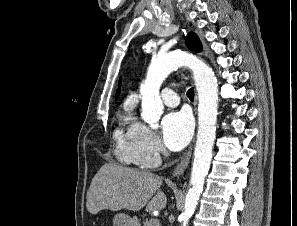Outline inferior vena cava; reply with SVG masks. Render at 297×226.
I'll list each match as a JSON object with an SVG mask.
<instances>
[{
    "label": "inferior vena cava",
    "mask_w": 297,
    "mask_h": 226,
    "mask_svg": "<svg viewBox=\"0 0 297 226\" xmlns=\"http://www.w3.org/2000/svg\"><path fill=\"white\" fill-rule=\"evenodd\" d=\"M164 155H168L167 151H164Z\"/></svg>",
    "instance_id": "1"
}]
</instances>
